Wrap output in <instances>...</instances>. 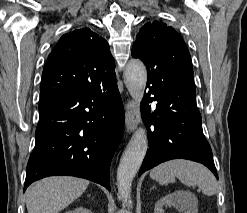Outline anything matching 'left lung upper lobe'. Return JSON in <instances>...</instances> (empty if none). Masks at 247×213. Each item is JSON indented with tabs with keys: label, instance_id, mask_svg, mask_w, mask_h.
<instances>
[{
	"label": "left lung upper lobe",
	"instance_id": "left-lung-upper-lobe-1",
	"mask_svg": "<svg viewBox=\"0 0 247 213\" xmlns=\"http://www.w3.org/2000/svg\"><path fill=\"white\" fill-rule=\"evenodd\" d=\"M131 54L144 62L148 75L164 79L180 73L194 84L191 57L182 36L162 21L149 22L140 29Z\"/></svg>",
	"mask_w": 247,
	"mask_h": 213
}]
</instances>
